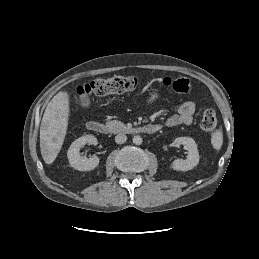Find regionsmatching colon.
Listing matches in <instances>:
<instances>
[{
    "label": "colon",
    "instance_id": "obj_1",
    "mask_svg": "<svg viewBox=\"0 0 259 259\" xmlns=\"http://www.w3.org/2000/svg\"><path fill=\"white\" fill-rule=\"evenodd\" d=\"M163 84L167 88L181 94H187L192 90L191 82L186 77L164 78ZM139 86L138 78L134 76H115L108 79H95L78 88L77 98L84 96L103 97L110 94H122L134 91ZM217 120L212 109L204 111L201 128L206 132H212L216 128Z\"/></svg>",
    "mask_w": 259,
    "mask_h": 259
}]
</instances>
